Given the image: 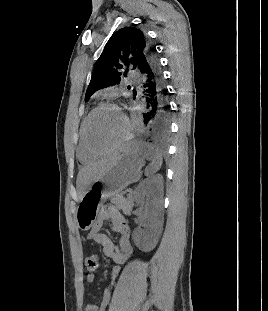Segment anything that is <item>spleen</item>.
<instances>
[{
	"instance_id": "spleen-1",
	"label": "spleen",
	"mask_w": 268,
	"mask_h": 311,
	"mask_svg": "<svg viewBox=\"0 0 268 311\" xmlns=\"http://www.w3.org/2000/svg\"><path fill=\"white\" fill-rule=\"evenodd\" d=\"M147 149V159L151 160V164L148 168H146L145 175L152 176L160 169L162 165V155L151 146H148Z\"/></svg>"
}]
</instances>
